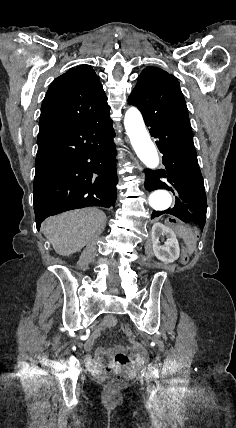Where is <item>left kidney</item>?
Returning a JSON list of instances; mask_svg holds the SVG:
<instances>
[{
  "mask_svg": "<svg viewBox=\"0 0 236 428\" xmlns=\"http://www.w3.org/2000/svg\"><path fill=\"white\" fill-rule=\"evenodd\" d=\"M165 236L167 238L164 242V246H160L159 238ZM152 244L153 252L161 262L166 264H172L175 260H178L180 256V248L178 240L171 228L163 226V224H154L152 228Z\"/></svg>",
  "mask_w": 236,
  "mask_h": 428,
  "instance_id": "1",
  "label": "left kidney"
}]
</instances>
